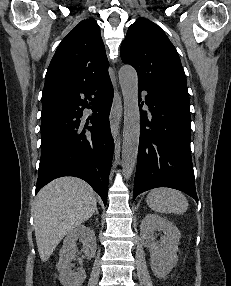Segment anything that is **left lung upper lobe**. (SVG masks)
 <instances>
[{
	"label": "left lung upper lobe",
	"instance_id": "1",
	"mask_svg": "<svg viewBox=\"0 0 231 286\" xmlns=\"http://www.w3.org/2000/svg\"><path fill=\"white\" fill-rule=\"evenodd\" d=\"M121 58L136 69L138 84L189 97L179 55L153 22L140 18L129 27Z\"/></svg>",
	"mask_w": 231,
	"mask_h": 286
}]
</instances>
